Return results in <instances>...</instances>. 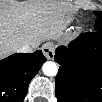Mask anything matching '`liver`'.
Returning a JSON list of instances; mask_svg holds the SVG:
<instances>
[{
    "mask_svg": "<svg viewBox=\"0 0 102 102\" xmlns=\"http://www.w3.org/2000/svg\"><path fill=\"white\" fill-rule=\"evenodd\" d=\"M66 10L55 0L13 2L0 10V52L6 55L30 43L47 40L54 27L66 17Z\"/></svg>",
    "mask_w": 102,
    "mask_h": 102,
    "instance_id": "1",
    "label": "liver"
}]
</instances>
